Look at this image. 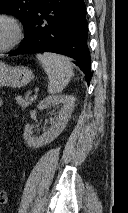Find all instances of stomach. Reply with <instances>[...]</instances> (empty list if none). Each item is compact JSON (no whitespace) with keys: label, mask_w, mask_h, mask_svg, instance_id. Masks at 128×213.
<instances>
[{"label":"stomach","mask_w":128,"mask_h":213,"mask_svg":"<svg viewBox=\"0 0 128 213\" xmlns=\"http://www.w3.org/2000/svg\"><path fill=\"white\" fill-rule=\"evenodd\" d=\"M34 78L31 69L25 66H10L0 62V87H23Z\"/></svg>","instance_id":"1"}]
</instances>
